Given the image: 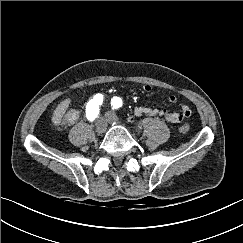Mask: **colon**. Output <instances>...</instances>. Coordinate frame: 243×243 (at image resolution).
<instances>
[{
	"label": "colon",
	"instance_id": "obj_1",
	"mask_svg": "<svg viewBox=\"0 0 243 243\" xmlns=\"http://www.w3.org/2000/svg\"><path fill=\"white\" fill-rule=\"evenodd\" d=\"M79 118V112L74 109L70 108L68 109L65 114L59 119L58 126L64 127L67 125H71L75 123ZM190 130V124L189 123H182L179 126V131L182 133H187Z\"/></svg>",
	"mask_w": 243,
	"mask_h": 243
}]
</instances>
